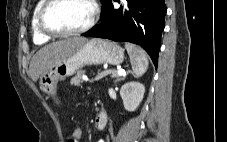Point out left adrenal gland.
I'll list each match as a JSON object with an SVG mask.
<instances>
[{"label":"left adrenal gland","mask_w":227,"mask_h":142,"mask_svg":"<svg viewBox=\"0 0 227 142\" xmlns=\"http://www.w3.org/2000/svg\"><path fill=\"white\" fill-rule=\"evenodd\" d=\"M130 71H128V73H129ZM126 76H127V74H125L124 76H122L121 78H117L115 81H114V83H117V82H119V81H121V80H124L125 78H126Z\"/></svg>","instance_id":"left-adrenal-gland-1"}]
</instances>
